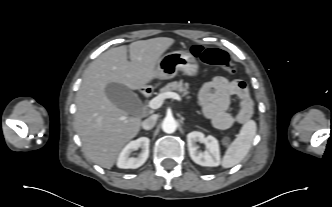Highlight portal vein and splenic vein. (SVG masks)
Instances as JSON below:
<instances>
[{"label": "portal vein and splenic vein", "instance_id": "18ae733b", "mask_svg": "<svg viewBox=\"0 0 332 207\" xmlns=\"http://www.w3.org/2000/svg\"><path fill=\"white\" fill-rule=\"evenodd\" d=\"M165 98H173L175 100L181 101V97L179 94H177L175 92H167L164 94H160L157 97L150 100L149 104H148L149 108L158 109L163 104V101Z\"/></svg>", "mask_w": 332, "mask_h": 207}]
</instances>
